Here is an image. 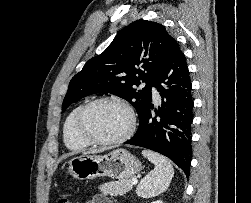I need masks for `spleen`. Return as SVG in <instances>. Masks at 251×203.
Wrapping results in <instances>:
<instances>
[{"label": "spleen", "instance_id": "obj_1", "mask_svg": "<svg viewBox=\"0 0 251 203\" xmlns=\"http://www.w3.org/2000/svg\"><path fill=\"white\" fill-rule=\"evenodd\" d=\"M142 155L155 167L140 181L136 193L142 198H152L166 191L173 178L174 169L166 157L156 152L143 150Z\"/></svg>", "mask_w": 251, "mask_h": 203}]
</instances>
